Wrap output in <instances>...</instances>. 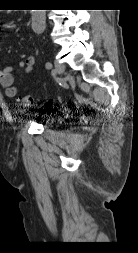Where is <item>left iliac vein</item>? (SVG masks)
<instances>
[{
  "label": "left iliac vein",
  "instance_id": "left-iliac-vein-1",
  "mask_svg": "<svg viewBox=\"0 0 138 253\" xmlns=\"http://www.w3.org/2000/svg\"><path fill=\"white\" fill-rule=\"evenodd\" d=\"M54 66H55V72L57 73V74H59V75H61L63 72H64V70H65V66H64V64L63 63H61V62H59V61H55L54 62Z\"/></svg>",
  "mask_w": 138,
  "mask_h": 253
}]
</instances>
